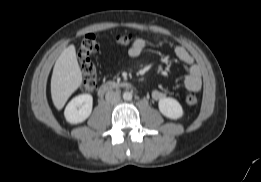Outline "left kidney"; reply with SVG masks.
Returning <instances> with one entry per match:
<instances>
[{"label": "left kidney", "mask_w": 261, "mask_h": 182, "mask_svg": "<svg viewBox=\"0 0 261 182\" xmlns=\"http://www.w3.org/2000/svg\"><path fill=\"white\" fill-rule=\"evenodd\" d=\"M160 112L167 118L177 120L184 115L180 103L173 98H162L158 102Z\"/></svg>", "instance_id": "5707ae66"}]
</instances>
